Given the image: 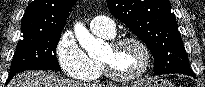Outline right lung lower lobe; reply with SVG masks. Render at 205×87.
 Segmentation results:
<instances>
[{
	"label": "right lung lower lobe",
	"mask_w": 205,
	"mask_h": 87,
	"mask_svg": "<svg viewBox=\"0 0 205 87\" xmlns=\"http://www.w3.org/2000/svg\"><path fill=\"white\" fill-rule=\"evenodd\" d=\"M12 78H13V76L12 77L9 76L6 83H8Z\"/></svg>",
	"instance_id": "98d812e1"
}]
</instances>
